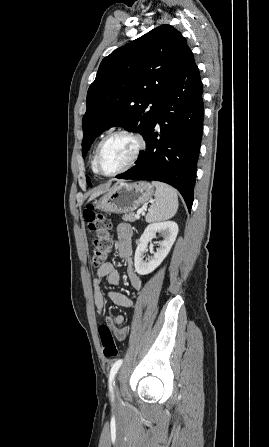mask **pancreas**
<instances>
[{"instance_id":"cf45deb5","label":"pancreas","mask_w":269,"mask_h":447,"mask_svg":"<svg viewBox=\"0 0 269 447\" xmlns=\"http://www.w3.org/2000/svg\"><path fill=\"white\" fill-rule=\"evenodd\" d=\"M122 220H124V222H135L133 212H129V214H125V216H123Z\"/></svg>"}]
</instances>
